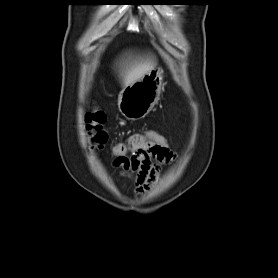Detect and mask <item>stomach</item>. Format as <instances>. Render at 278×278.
Returning <instances> with one entry per match:
<instances>
[{"mask_svg":"<svg viewBox=\"0 0 278 278\" xmlns=\"http://www.w3.org/2000/svg\"><path fill=\"white\" fill-rule=\"evenodd\" d=\"M163 70L154 68L139 80L125 86L118 96V108L129 120L144 118L160 99Z\"/></svg>","mask_w":278,"mask_h":278,"instance_id":"stomach-1","label":"stomach"}]
</instances>
